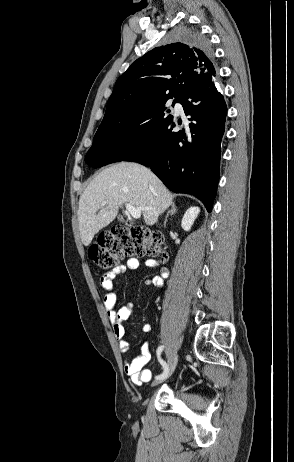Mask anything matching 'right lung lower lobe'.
<instances>
[{
    "label": "right lung lower lobe",
    "mask_w": 294,
    "mask_h": 462,
    "mask_svg": "<svg viewBox=\"0 0 294 462\" xmlns=\"http://www.w3.org/2000/svg\"><path fill=\"white\" fill-rule=\"evenodd\" d=\"M188 122L174 132L173 119L138 146L122 161L140 163L151 170L173 192L190 193L212 210L219 179L220 143L227 107L213 78L185 92L179 100ZM104 166L101 156L86 162Z\"/></svg>",
    "instance_id": "1"
}]
</instances>
